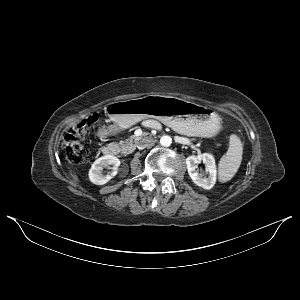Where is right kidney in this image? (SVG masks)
I'll use <instances>...</instances> for the list:
<instances>
[{"label":"right kidney","mask_w":300,"mask_h":300,"mask_svg":"<svg viewBox=\"0 0 300 300\" xmlns=\"http://www.w3.org/2000/svg\"><path fill=\"white\" fill-rule=\"evenodd\" d=\"M111 165L110 168L112 171L107 175L102 173L103 168H107ZM120 166V160L117 157L112 155H106L98 158L89 170V179L92 183L97 185H104L109 180H111L118 172V167Z\"/></svg>","instance_id":"obj_1"}]
</instances>
